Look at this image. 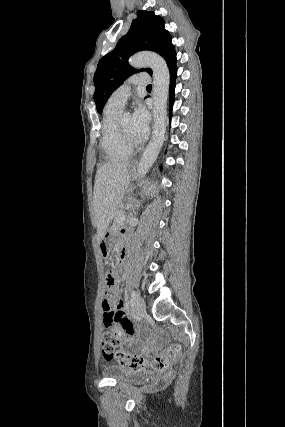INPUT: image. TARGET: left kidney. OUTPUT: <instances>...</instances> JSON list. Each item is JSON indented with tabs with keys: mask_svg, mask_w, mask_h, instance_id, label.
Instances as JSON below:
<instances>
[{
	"mask_svg": "<svg viewBox=\"0 0 285 427\" xmlns=\"http://www.w3.org/2000/svg\"><path fill=\"white\" fill-rule=\"evenodd\" d=\"M151 188H152V187H151ZM151 188H149V189H148V191H150V190H151Z\"/></svg>",
	"mask_w": 285,
	"mask_h": 427,
	"instance_id": "obj_1",
	"label": "left kidney"
}]
</instances>
